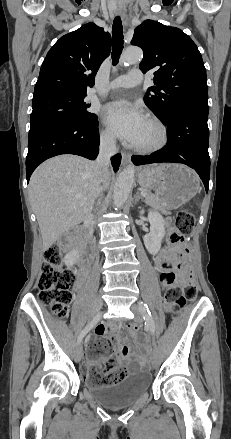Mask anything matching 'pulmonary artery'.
<instances>
[{
	"label": "pulmonary artery",
	"mask_w": 231,
	"mask_h": 439,
	"mask_svg": "<svg viewBox=\"0 0 231 439\" xmlns=\"http://www.w3.org/2000/svg\"><path fill=\"white\" fill-rule=\"evenodd\" d=\"M143 75L140 70H132L125 75H121L114 79L108 89L115 90L120 88H132L139 85L142 82Z\"/></svg>",
	"instance_id": "obj_1"
}]
</instances>
